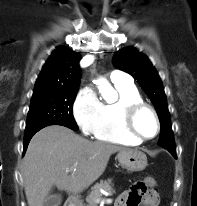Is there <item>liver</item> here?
Returning <instances> with one entry per match:
<instances>
[{"mask_svg":"<svg viewBox=\"0 0 197 206\" xmlns=\"http://www.w3.org/2000/svg\"><path fill=\"white\" fill-rule=\"evenodd\" d=\"M124 150L130 149L89 141L63 126L45 127L31 139L23 160L28 205L44 206L53 185L68 194L82 192L103 174L110 156Z\"/></svg>","mask_w":197,"mask_h":206,"instance_id":"6515ba94","label":"liver"}]
</instances>
